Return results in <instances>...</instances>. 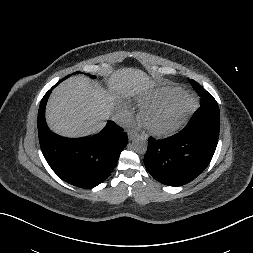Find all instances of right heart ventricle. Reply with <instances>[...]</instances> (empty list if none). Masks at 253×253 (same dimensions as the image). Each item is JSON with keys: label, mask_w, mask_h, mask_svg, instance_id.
Here are the masks:
<instances>
[{"label": "right heart ventricle", "mask_w": 253, "mask_h": 253, "mask_svg": "<svg viewBox=\"0 0 253 253\" xmlns=\"http://www.w3.org/2000/svg\"><path fill=\"white\" fill-rule=\"evenodd\" d=\"M179 90V87L174 86L161 87L141 97L140 103L144 106L156 103L169 98L173 94L177 93Z\"/></svg>", "instance_id": "e07e8e85"}]
</instances>
